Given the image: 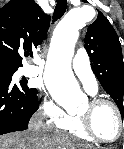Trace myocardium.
Returning <instances> with one entry per match:
<instances>
[{
	"label": "myocardium",
	"mask_w": 124,
	"mask_h": 149,
	"mask_svg": "<svg viewBox=\"0 0 124 149\" xmlns=\"http://www.w3.org/2000/svg\"><path fill=\"white\" fill-rule=\"evenodd\" d=\"M89 105H90L91 110L95 109L99 106H102V105L110 106L116 115L118 125H119V133H118L117 137L112 140H107V139L101 138L93 129L90 113H82V114L78 115L80 125H81L82 129L84 130V132L91 139H93L94 141H97L99 143L113 144V143L118 142L124 136V117H123V114H122L120 108L118 107V105L115 102H113L107 98H102V97L92 98L89 101Z\"/></svg>",
	"instance_id": "f54148a6"
}]
</instances>
